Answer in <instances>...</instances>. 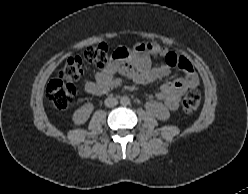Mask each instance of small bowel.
<instances>
[{
	"label": "small bowel",
	"instance_id": "small-bowel-1",
	"mask_svg": "<svg viewBox=\"0 0 248 194\" xmlns=\"http://www.w3.org/2000/svg\"><path fill=\"white\" fill-rule=\"evenodd\" d=\"M149 52L158 55L168 53L162 48L151 44H141L135 48H117L113 52L109 63L97 72L95 80L85 83V91L91 95H101L119 85L122 80L149 85L167 77L171 72V67H176L183 71V77L173 82L162 84L155 95L156 101H151L149 106L159 112L158 102H161L166 109L177 110L180 99L185 92L197 86L198 77L191 63L185 57L175 54L173 66L166 63L153 67ZM116 74L120 76V79L115 78Z\"/></svg>",
	"mask_w": 248,
	"mask_h": 194
}]
</instances>
